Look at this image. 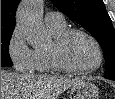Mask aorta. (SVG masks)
<instances>
[{
    "mask_svg": "<svg viewBox=\"0 0 115 99\" xmlns=\"http://www.w3.org/2000/svg\"><path fill=\"white\" fill-rule=\"evenodd\" d=\"M41 13L42 0H25L17 12V28L34 46L43 44L47 36Z\"/></svg>",
    "mask_w": 115,
    "mask_h": 99,
    "instance_id": "aorta-1",
    "label": "aorta"
}]
</instances>
